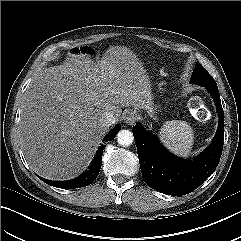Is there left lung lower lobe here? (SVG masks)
<instances>
[{
  "instance_id": "left-lung-lower-lobe-1",
  "label": "left lung lower lobe",
  "mask_w": 241,
  "mask_h": 241,
  "mask_svg": "<svg viewBox=\"0 0 241 241\" xmlns=\"http://www.w3.org/2000/svg\"><path fill=\"white\" fill-rule=\"evenodd\" d=\"M219 113V127L210 146L194 161L174 157L142 124L133 126L142 177L154 190L168 195H185L199 187L216 169L223 149L224 112L218 87L206 86Z\"/></svg>"
}]
</instances>
